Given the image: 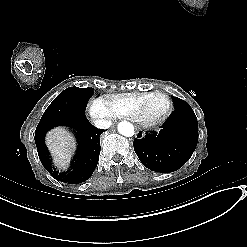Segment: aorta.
<instances>
[{
  "label": "aorta",
  "instance_id": "1",
  "mask_svg": "<svg viewBox=\"0 0 247 247\" xmlns=\"http://www.w3.org/2000/svg\"><path fill=\"white\" fill-rule=\"evenodd\" d=\"M118 131L123 136L131 137L134 135V126L130 122L122 121L118 124Z\"/></svg>",
  "mask_w": 247,
  "mask_h": 247
}]
</instances>
